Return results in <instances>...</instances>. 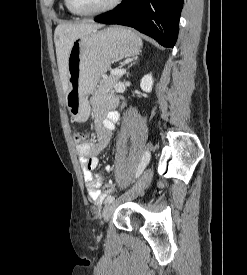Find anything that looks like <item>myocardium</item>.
<instances>
[{
  "mask_svg": "<svg viewBox=\"0 0 247 275\" xmlns=\"http://www.w3.org/2000/svg\"><path fill=\"white\" fill-rule=\"evenodd\" d=\"M64 1H65V5H66L67 9L75 15L94 16V15H99V14H103V13H106L108 11H111L112 9H114L120 3L121 0H111L109 3H107L103 7L98 8L96 10H92V11L77 10L72 6L70 0H64Z\"/></svg>",
  "mask_w": 247,
  "mask_h": 275,
  "instance_id": "1",
  "label": "myocardium"
}]
</instances>
